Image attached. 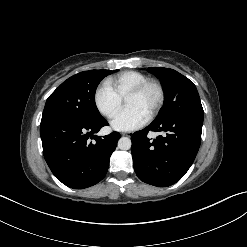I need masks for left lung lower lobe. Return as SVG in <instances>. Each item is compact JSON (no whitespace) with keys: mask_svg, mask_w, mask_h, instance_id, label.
Returning a JSON list of instances; mask_svg holds the SVG:
<instances>
[{"mask_svg":"<svg viewBox=\"0 0 247 247\" xmlns=\"http://www.w3.org/2000/svg\"><path fill=\"white\" fill-rule=\"evenodd\" d=\"M202 124L203 116L178 114L135 132L131 137V153L138 178L158 187L179 181L197 155ZM149 131H162L166 135L152 141L147 138Z\"/></svg>","mask_w":247,"mask_h":247,"instance_id":"left-lung-lower-lobe-1","label":"left lung lower lobe"}]
</instances>
